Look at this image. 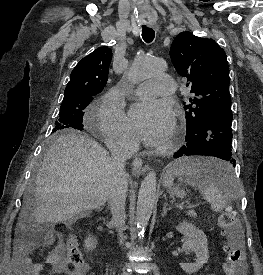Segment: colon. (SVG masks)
<instances>
[{
  "mask_svg": "<svg viewBox=\"0 0 263 275\" xmlns=\"http://www.w3.org/2000/svg\"><path fill=\"white\" fill-rule=\"evenodd\" d=\"M219 226L227 238L224 244L226 261L224 272L226 275H245L246 266L243 254V241L240 225L233 211H224L218 218ZM66 253L69 264L72 268H83L84 263L82 253L74 237H70L66 243Z\"/></svg>",
  "mask_w": 263,
  "mask_h": 275,
  "instance_id": "5ec220e1",
  "label": "colon"
}]
</instances>
